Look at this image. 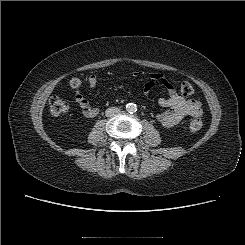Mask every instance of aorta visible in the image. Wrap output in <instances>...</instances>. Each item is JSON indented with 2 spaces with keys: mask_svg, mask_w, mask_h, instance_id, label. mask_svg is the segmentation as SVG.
<instances>
[{
  "mask_svg": "<svg viewBox=\"0 0 245 245\" xmlns=\"http://www.w3.org/2000/svg\"><path fill=\"white\" fill-rule=\"evenodd\" d=\"M126 110L129 113H135L137 111V105L135 103H128L126 105Z\"/></svg>",
  "mask_w": 245,
  "mask_h": 245,
  "instance_id": "762f6f07",
  "label": "aorta"
}]
</instances>
